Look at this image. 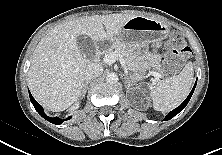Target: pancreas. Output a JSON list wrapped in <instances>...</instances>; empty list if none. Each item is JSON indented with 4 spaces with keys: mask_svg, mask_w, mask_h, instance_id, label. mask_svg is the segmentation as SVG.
Listing matches in <instances>:
<instances>
[{
    "mask_svg": "<svg viewBox=\"0 0 222 155\" xmlns=\"http://www.w3.org/2000/svg\"><path fill=\"white\" fill-rule=\"evenodd\" d=\"M136 47H131L122 44L121 42H115L111 48L107 51V54L109 53H117L123 56L125 63L129 69L134 68L136 65L140 63V60L136 58V55L134 54V50ZM149 66L153 67L154 70L159 71L160 70V64L158 61H154L152 58H150V62H146Z\"/></svg>",
    "mask_w": 222,
    "mask_h": 155,
    "instance_id": "1",
    "label": "pancreas"
}]
</instances>
